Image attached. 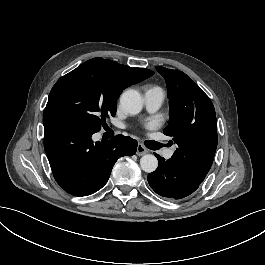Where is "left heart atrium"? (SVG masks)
Listing matches in <instances>:
<instances>
[{"label":"left heart atrium","mask_w":265,"mask_h":265,"mask_svg":"<svg viewBox=\"0 0 265 265\" xmlns=\"http://www.w3.org/2000/svg\"><path fill=\"white\" fill-rule=\"evenodd\" d=\"M154 125H155V123H153V122H152V123H150V126H154Z\"/></svg>","instance_id":"obj_1"}]
</instances>
